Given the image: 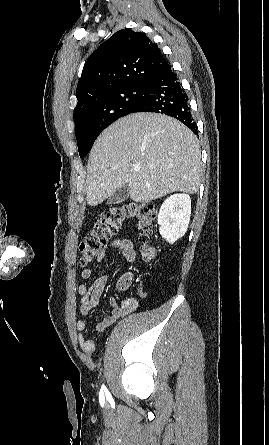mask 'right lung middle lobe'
<instances>
[{
  "label": "right lung middle lobe",
  "instance_id": "right-lung-middle-lobe-1",
  "mask_svg": "<svg viewBox=\"0 0 269 445\" xmlns=\"http://www.w3.org/2000/svg\"><path fill=\"white\" fill-rule=\"evenodd\" d=\"M147 90V84L122 86L88 100L75 110V134L80 157L91 150L94 141L107 126L130 114Z\"/></svg>",
  "mask_w": 269,
  "mask_h": 445
}]
</instances>
